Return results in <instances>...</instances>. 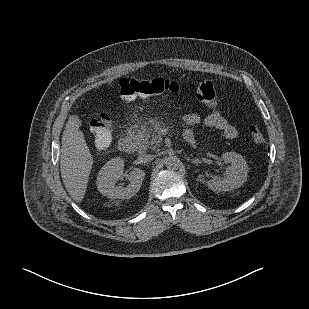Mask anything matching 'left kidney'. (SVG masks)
<instances>
[{
	"mask_svg": "<svg viewBox=\"0 0 309 309\" xmlns=\"http://www.w3.org/2000/svg\"><path fill=\"white\" fill-rule=\"evenodd\" d=\"M222 160L230 164L226 169V177H215L206 182L208 188L217 193L239 188L246 182L249 171L246 160L236 152L223 153Z\"/></svg>",
	"mask_w": 309,
	"mask_h": 309,
	"instance_id": "obj_1",
	"label": "left kidney"
}]
</instances>
